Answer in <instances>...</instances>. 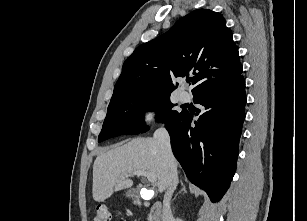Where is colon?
Instances as JSON below:
<instances>
[{"label":"colon","instance_id":"colon-1","mask_svg":"<svg viewBox=\"0 0 307 221\" xmlns=\"http://www.w3.org/2000/svg\"><path fill=\"white\" fill-rule=\"evenodd\" d=\"M112 214L111 211L106 204H101L95 210L93 221H111Z\"/></svg>","mask_w":307,"mask_h":221}]
</instances>
